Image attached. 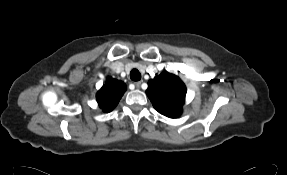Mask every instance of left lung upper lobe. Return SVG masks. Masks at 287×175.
I'll return each instance as SVG.
<instances>
[{
    "instance_id": "obj_1",
    "label": "left lung upper lobe",
    "mask_w": 287,
    "mask_h": 175,
    "mask_svg": "<svg viewBox=\"0 0 287 175\" xmlns=\"http://www.w3.org/2000/svg\"><path fill=\"white\" fill-rule=\"evenodd\" d=\"M146 94L154 108L164 116L177 118L182 113L186 87L174 74L167 71L149 80Z\"/></svg>"
}]
</instances>
